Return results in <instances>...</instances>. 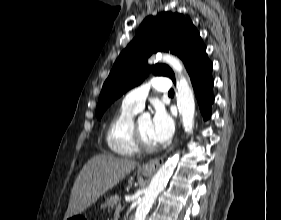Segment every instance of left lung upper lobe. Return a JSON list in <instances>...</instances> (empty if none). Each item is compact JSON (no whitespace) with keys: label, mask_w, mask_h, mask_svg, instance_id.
<instances>
[{"label":"left lung upper lobe","mask_w":281,"mask_h":220,"mask_svg":"<svg viewBox=\"0 0 281 220\" xmlns=\"http://www.w3.org/2000/svg\"><path fill=\"white\" fill-rule=\"evenodd\" d=\"M158 51L176 54L187 66L192 59L205 53L206 47L192 21L182 14L162 12L155 17L148 16L104 82L96 109L98 119L114 100L143 81L150 70L147 58ZM151 70L155 75L175 81L174 73L167 65L156 64Z\"/></svg>","instance_id":"5c2ea615"}]
</instances>
